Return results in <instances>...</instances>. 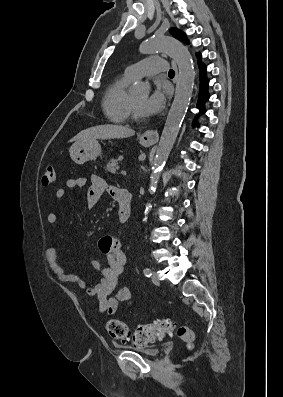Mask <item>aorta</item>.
Returning a JSON list of instances; mask_svg holds the SVG:
<instances>
[{"label": "aorta", "mask_w": 283, "mask_h": 397, "mask_svg": "<svg viewBox=\"0 0 283 397\" xmlns=\"http://www.w3.org/2000/svg\"><path fill=\"white\" fill-rule=\"evenodd\" d=\"M156 50L167 52L176 61L179 74L174 101L169 110L154 159L149 186L150 193L156 190L161 170L179 133L180 125L189 106L195 80L192 56L184 44L170 37H153L140 46V52L143 54H149ZM149 89V85L143 82L135 83L133 86L134 92L138 94H147ZM151 207V203L146 204L145 215L148 214ZM146 219L145 216L143 221Z\"/></svg>", "instance_id": "aorta-1"}]
</instances>
